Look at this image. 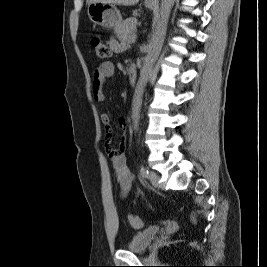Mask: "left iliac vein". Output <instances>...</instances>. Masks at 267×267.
<instances>
[{
    "label": "left iliac vein",
    "instance_id": "1",
    "mask_svg": "<svg viewBox=\"0 0 267 267\" xmlns=\"http://www.w3.org/2000/svg\"><path fill=\"white\" fill-rule=\"evenodd\" d=\"M149 180L153 186H155V187L160 186V183H159L160 178L156 172L151 171L149 173Z\"/></svg>",
    "mask_w": 267,
    "mask_h": 267
}]
</instances>
